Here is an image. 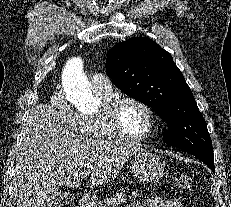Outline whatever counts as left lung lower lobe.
<instances>
[{
    "instance_id": "obj_1",
    "label": "left lung lower lobe",
    "mask_w": 231,
    "mask_h": 207,
    "mask_svg": "<svg viewBox=\"0 0 231 207\" xmlns=\"http://www.w3.org/2000/svg\"><path fill=\"white\" fill-rule=\"evenodd\" d=\"M185 151L196 156L201 161H203L213 172L215 171V169H214V155L213 154L205 153V152H201V151H188V150H185Z\"/></svg>"
}]
</instances>
